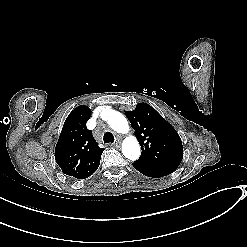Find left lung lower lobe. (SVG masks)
Masks as SVG:
<instances>
[{
  "mask_svg": "<svg viewBox=\"0 0 247 247\" xmlns=\"http://www.w3.org/2000/svg\"><path fill=\"white\" fill-rule=\"evenodd\" d=\"M132 165L136 170H138L143 175L153 178L163 177L173 172L165 168L145 162L135 161L134 163H132Z\"/></svg>",
  "mask_w": 247,
  "mask_h": 247,
  "instance_id": "left-lung-lower-lobe-1",
  "label": "left lung lower lobe"
}]
</instances>
